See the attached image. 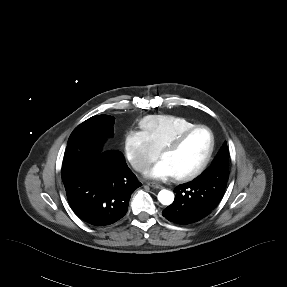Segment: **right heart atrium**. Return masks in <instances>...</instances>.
<instances>
[{"label": "right heart atrium", "mask_w": 287, "mask_h": 287, "mask_svg": "<svg viewBox=\"0 0 287 287\" xmlns=\"http://www.w3.org/2000/svg\"><path fill=\"white\" fill-rule=\"evenodd\" d=\"M123 145L126 159L138 172L145 171L158 157V151L143 132L128 131L124 136Z\"/></svg>", "instance_id": "right-heart-atrium-1"}]
</instances>
